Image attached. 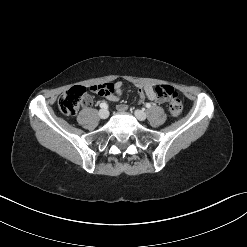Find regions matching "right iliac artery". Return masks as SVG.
I'll use <instances>...</instances> for the list:
<instances>
[{"label": "right iliac artery", "mask_w": 247, "mask_h": 247, "mask_svg": "<svg viewBox=\"0 0 247 247\" xmlns=\"http://www.w3.org/2000/svg\"><path fill=\"white\" fill-rule=\"evenodd\" d=\"M100 107L106 109L108 107V105H107V103L103 102L100 104Z\"/></svg>", "instance_id": "obj_1"}]
</instances>
